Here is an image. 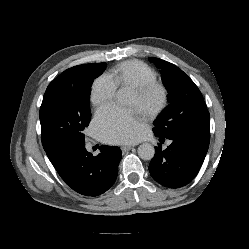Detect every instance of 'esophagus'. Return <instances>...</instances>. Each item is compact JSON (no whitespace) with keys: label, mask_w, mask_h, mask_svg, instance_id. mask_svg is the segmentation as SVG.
Masks as SVG:
<instances>
[{"label":"esophagus","mask_w":249,"mask_h":249,"mask_svg":"<svg viewBox=\"0 0 249 249\" xmlns=\"http://www.w3.org/2000/svg\"><path fill=\"white\" fill-rule=\"evenodd\" d=\"M131 149H133L132 146H122L121 147L122 153H128Z\"/></svg>","instance_id":"esophagus-1"}]
</instances>
